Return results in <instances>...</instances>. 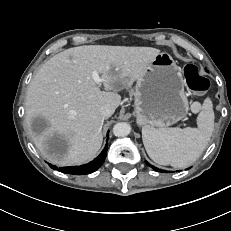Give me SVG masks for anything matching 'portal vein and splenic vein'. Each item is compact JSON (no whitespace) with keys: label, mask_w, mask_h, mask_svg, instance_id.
Wrapping results in <instances>:
<instances>
[{"label":"portal vein and splenic vein","mask_w":231,"mask_h":231,"mask_svg":"<svg viewBox=\"0 0 231 231\" xmlns=\"http://www.w3.org/2000/svg\"><path fill=\"white\" fill-rule=\"evenodd\" d=\"M92 78H93L94 82H95L96 84H98V85L102 82L101 77L99 76V74H98L96 71H94V72L92 73Z\"/></svg>","instance_id":"obj_1"}]
</instances>
